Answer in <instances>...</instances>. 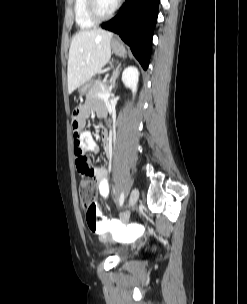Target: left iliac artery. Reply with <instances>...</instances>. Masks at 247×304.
Listing matches in <instances>:
<instances>
[{
  "label": "left iliac artery",
  "mask_w": 247,
  "mask_h": 304,
  "mask_svg": "<svg viewBox=\"0 0 247 304\" xmlns=\"http://www.w3.org/2000/svg\"><path fill=\"white\" fill-rule=\"evenodd\" d=\"M124 192H121L120 197H119V206L122 207L123 203H124Z\"/></svg>",
  "instance_id": "left-iliac-artery-1"
}]
</instances>
